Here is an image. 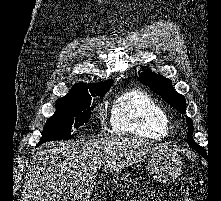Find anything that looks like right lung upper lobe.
Returning a JSON list of instances; mask_svg holds the SVG:
<instances>
[{
    "label": "right lung upper lobe",
    "instance_id": "1",
    "mask_svg": "<svg viewBox=\"0 0 221 201\" xmlns=\"http://www.w3.org/2000/svg\"><path fill=\"white\" fill-rule=\"evenodd\" d=\"M113 80H107L103 83H95V84H85L78 83L76 84L71 91L65 96L67 98H81L85 96H89L101 91H108L110 86L112 85Z\"/></svg>",
    "mask_w": 221,
    "mask_h": 201
}]
</instances>
